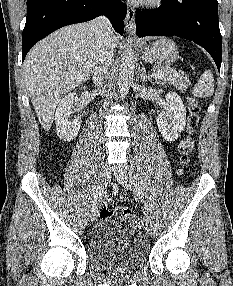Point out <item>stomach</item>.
I'll list each match as a JSON object with an SVG mask.
<instances>
[{
    "instance_id": "1",
    "label": "stomach",
    "mask_w": 233,
    "mask_h": 286,
    "mask_svg": "<svg viewBox=\"0 0 233 286\" xmlns=\"http://www.w3.org/2000/svg\"><path fill=\"white\" fill-rule=\"evenodd\" d=\"M142 58L160 67H168L179 58L178 47L171 39L160 37L150 45L143 47Z\"/></svg>"
}]
</instances>
